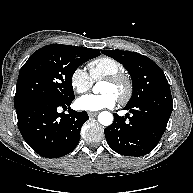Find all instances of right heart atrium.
<instances>
[{"instance_id":"obj_1","label":"right heart atrium","mask_w":193,"mask_h":193,"mask_svg":"<svg viewBox=\"0 0 193 193\" xmlns=\"http://www.w3.org/2000/svg\"><path fill=\"white\" fill-rule=\"evenodd\" d=\"M69 82L74 92L81 94L91 88L93 80L84 68L77 67L71 72Z\"/></svg>"}]
</instances>
